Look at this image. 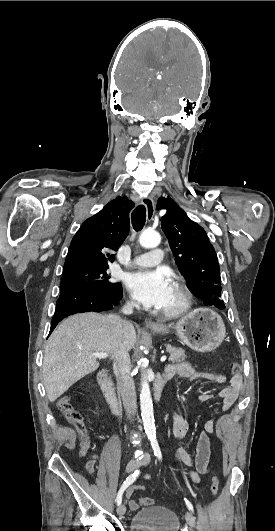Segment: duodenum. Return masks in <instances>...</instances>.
I'll return each mask as SVG.
<instances>
[{
    "instance_id": "obj_1",
    "label": "duodenum",
    "mask_w": 275,
    "mask_h": 531,
    "mask_svg": "<svg viewBox=\"0 0 275 531\" xmlns=\"http://www.w3.org/2000/svg\"><path fill=\"white\" fill-rule=\"evenodd\" d=\"M170 375L167 372L158 374L152 382V396L155 402H158L162 396L163 388ZM97 382L100 385L105 398L113 412H117L119 402L116 395L114 384L110 378V371L107 368L102 369L97 377Z\"/></svg>"
}]
</instances>
